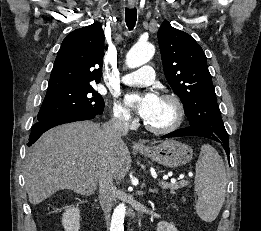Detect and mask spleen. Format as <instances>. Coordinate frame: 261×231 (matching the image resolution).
Segmentation results:
<instances>
[{"instance_id": "obj_1", "label": "spleen", "mask_w": 261, "mask_h": 231, "mask_svg": "<svg viewBox=\"0 0 261 231\" xmlns=\"http://www.w3.org/2000/svg\"><path fill=\"white\" fill-rule=\"evenodd\" d=\"M226 187L222 158L211 145H202L195 176L196 212L202 220L212 222L216 219L225 200Z\"/></svg>"}]
</instances>
